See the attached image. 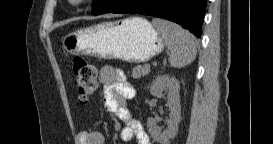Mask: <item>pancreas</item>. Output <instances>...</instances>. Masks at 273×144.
<instances>
[{"label":"pancreas","mask_w":273,"mask_h":144,"mask_svg":"<svg viewBox=\"0 0 273 144\" xmlns=\"http://www.w3.org/2000/svg\"><path fill=\"white\" fill-rule=\"evenodd\" d=\"M150 69L149 68H146V65L144 66H136L133 68L132 70V77L134 79H139L143 76H146L148 73H149Z\"/></svg>","instance_id":"cf45deb5"}]
</instances>
